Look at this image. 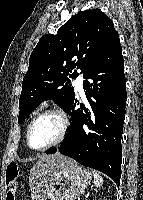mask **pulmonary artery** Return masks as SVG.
<instances>
[{
	"instance_id": "pulmonary-artery-1",
	"label": "pulmonary artery",
	"mask_w": 143,
	"mask_h": 200,
	"mask_svg": "<svg viewBox=\"0 0 143 200\" xmlns=\"http://www.w3.org/2000/svg\"><path fill=\"white\" fill-rule=\"evenodd\" d=\"M83 83H84V77L82 75H79L74 82L75 87L80 94H84Z\"/></svg>"
}]
</instances>
